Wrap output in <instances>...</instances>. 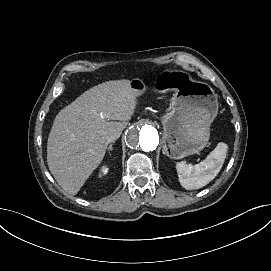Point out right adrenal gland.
Instances as JSON below:
<instances>
[{"mask_svg": "<svg viewBox=\"0 0 271 271\" xmlns=\"http://www.w3.org/2000/svg\"><path fill=\"white\" fill-rule=\"evenodd\" d=\"M115 143V141H112V143L108 146L107 150L108 151H112L113 150V144Z\"/></svg>", "mask_w": 271, "mask_h": 271, "instance_id": "right-adrenal-gland-1", "label": "right adrenal gland"}]
</instances>
